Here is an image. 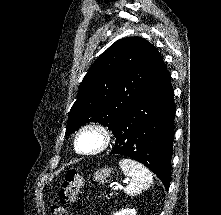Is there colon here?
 I'll use <instances>...</instances> for the list:
<instances>
[{"mask_svg": "<svg viewBox=\"0 0 221 215\" xmlns=\"http://www.w3.org/2000/svg\"><path fill=\"white\" fill-rule=\"evenodd\" d=\"M83 185V178L77 170H69L65 174V178L59 193V203L51 207V215H67L66 206L73 203L79 194Z\"/></svg>", "mask_w": 221, "mask_h": 215, "instance_id": "obj_1", "label": "colon"}]
</instances>
